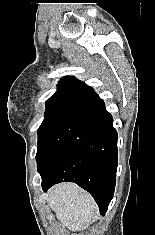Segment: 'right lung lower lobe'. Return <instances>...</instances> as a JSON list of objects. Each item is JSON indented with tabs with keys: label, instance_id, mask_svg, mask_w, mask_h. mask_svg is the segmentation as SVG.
<instances>
[{
	"label": "right lung lower lobe",
	"instance_id": "right-lung-lower-lobe-1",
	"mask_svg": "<svg viewBox=\"0 0 155 235\" xmlns=\"http://www.w3.org/2000/svg\"><path fill=\"white\" fill-rule=\"evenodd\" d=\"M89 98L94 103L98 121L77 135L43 171L42 187L71 181L87 190L104 215L113 198L117 170V132L103 100L92 90Z\"/></svg>",
	"mask_w": 155,
	"mask_h": 235
}]
</instances>
